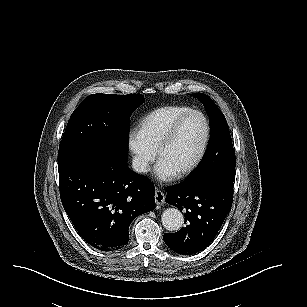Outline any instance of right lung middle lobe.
Masks as SVG:
<instances>
[{"mask_svg":"<svg viewBox=\"0 0 307 307\" xmlns=\"http://www.w3.org/2000/svg\"><path fill=\"white\" fill-rule=\"evenodd\" d=\"M144 101L141 94H92L72 113L59 145L58 161L91 150L126 159L129 118Z\"/></svg>","mask_w":307,"mask_h":307,"instance_id":"1","label":"right lung middle lobe"}]
</instances>
